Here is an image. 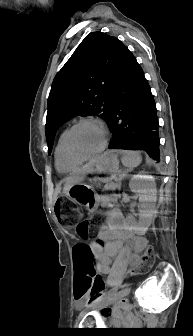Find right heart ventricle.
Segmentation results:
<instances>
[{
  "label": "right heart ventricle",
  "mask_w": 193,
  "mask_h": 336,
  "mask_svg": "<svg viewBox=\"0 0 193 336\" xmlns=\"http://www.w3.org/2000/svg\"><path fill=\"white\" fill-rule=\"evenodd\" d=\"M64 134L65 131L58 138L54 156L57 170L62 174H69L76 172L83 161H72L65 155L63 147Z\"/></svg>",
  "instance_id": "right-heart-ventricle-1"
}]
</instances>
